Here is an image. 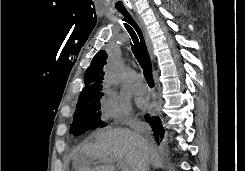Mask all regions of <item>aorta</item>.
<instances>
[{
    "instance_id": "762f6f07",
    "label": "aorta",
    "mask_w": 245,
    "mask_h": 171,
    "mask_svg": "<svg viewBox=\"0 0 245 171\" xmlns=\"http://www.w3.org/2000/svg\"><path fill=\"white\" fill-rule=\"evenodd\" d=\"M125 71V63L120 60L114 64L108 66L105 73V81L111 86H117L120 84Z\"/></svg>"
}]
</instances>
